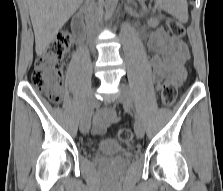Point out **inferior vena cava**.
Wrapping results in <instances>:
<instances>
[{
    "label": "inferior vena cava",
    "mask_w": 223,
    "mask_h": 191,
    "mask_svg": "<svg viewBox=\"0 0 223 191\" xmlns=\"http://www.w3.org/2000/svg\"><path fill=\"white\" fill-rule=\"evenodd\" d=\"M85 22L88 37L91 38L99 29L97 7L94 0H85Z\"/></svg>",
    "instance_id": "1"
}]
</instances>
